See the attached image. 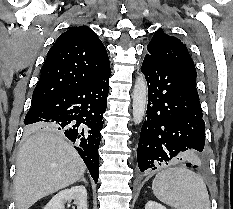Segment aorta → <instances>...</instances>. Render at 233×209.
Segmentation results:
<instances>
[{"instance_id":"aorta-1","label":"aorta","mask_w":233,"mask_h":209,"mask_svg":"<svg viewBox=\"0 0 233 209\" xmlns=\"http://www.w3.org/2000/svg\"><path fill=\"white\" fill-rule=\"evenodd\" d=\"M147 82L144 75L140 74L135 80L134 88H133V121L134 123L140 124L143 120L146 111L147 104Z\"/></svg>"}]
</instances>
